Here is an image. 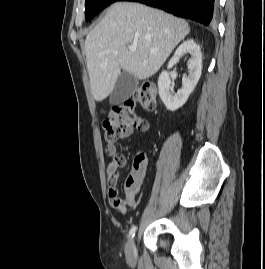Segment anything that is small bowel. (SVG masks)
I'll list each match as a JSON object with an SVG mask.
<instances>
[{"label": "small bowel", "instance_id": "c3829d8e", "mask_svg": "<svg viewBox=\"0 0 265 269\" xmlns=\"http://www.w3.org/2000/svg\"><path fill=\"white\" fill-rule=\"evenodd\" d=\"M145 126L139 131H147L148 123L142 119ZM105 153L110 157V163L107 166V184H108V199L112 208L126 212L128 208L136 205V196L140 191V187L145 175L147 160L143 153L136 156L133 168L125 181V197H119L117 182L119 179V170L126 165V158L117 152V147L114 143H108L105 147Z\"/></svg>", "mask_w": 265, "mask_h": 269}]
</instances>
